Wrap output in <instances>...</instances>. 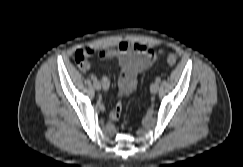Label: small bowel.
Listing matches in <instances>:
<instances>
[{"label":"small bowel","mask_w":243,"mask_h":167,"mask_svg":"<svg viewBox=\"0 0 243 167\" xmlns=\"http://www.w3.org/2000/svg\"><path fill=\"white\" fill-rule=\"evenodd\" d=\"M90 55H95L100 58H118L120 76L118 81L119 95L124 96L132 93L137 85L138 77L141 72L148 69L156 60L159 52L154 46L148 44H129L121 42L117 47L107 50L90 49ZM82 70H87L89 64L85 61L79 64ZM102 89L108 91L110 87V80L104 76L101 79ZM122 111L120 103L110 111L109 118L117 120Z\"/></svg>","instance_id":"1"}]
</instances>
